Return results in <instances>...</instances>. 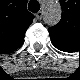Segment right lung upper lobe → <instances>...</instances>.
Returning a JSON list of instances; mask_svg holds the SVG:
<instances>
[{
	"label": "right lung upper lobe",
	"mask_w": 80,
	"mask_h": 80,
	"mask_svg": "<svg viewBox=\"0 0 80 80\" xmlns=\"http://www.w3.org/2000/svg\"><path fill=\"white\" fill-rule=\"evenodd\" d=\"M32 20L33 14L27 11L26 2H10L0 14V46L10 50L18 48Z\"/></svg>",
	"instance_id": "cb5924a9"
}]
</instances>
